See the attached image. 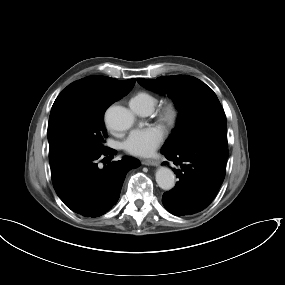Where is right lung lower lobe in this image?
<instances>
[{
  "instance_id": "right-lung-lower-lobe-1",
  "label": "right lung lower lobe",
  "mask_w": 285,
  "mask_h": 285,
  "mask_svg": "<svg viewBox=\"0 0 285 285\" xmlns=\"http://www.w3.org/2000/svg\"><path fill=\"white\" fill-rule=\"evenodd\" d=\"M116 153L114 149L107 148L102 152L73 156L51 167L54 189L69 209L94 218L105 214L116 204L126 173L140 165L137 159L124 157L103 169L98 168L100 157L113 158Z\"/></svg>"
}]
</instances>
